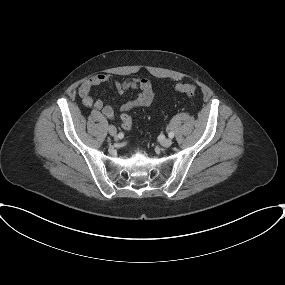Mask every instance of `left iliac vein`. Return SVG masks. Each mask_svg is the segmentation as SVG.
I'll return each mask as SVG.
<instances>
[{"instance_id":"left-iliac-vein-1","label":"left iliac vein","mask_w":285,"mask_h":285,"mask_svg":"<svg viewBox=\"0 0 285 285\" xmlns=\"http://www.w3.org/2000/svg\"><path fill=\"white\" fill-rule=\"evenodd\" d=\"M161 145L165 148H168L172 145V140L170 138H166L162 140Z\"/></svg>"}]
</instances>
